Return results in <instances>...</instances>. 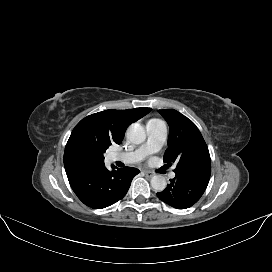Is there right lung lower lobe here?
<instances>
[{
    "instance_id": "right-lung-lower-lobe-1",
    "label": "right lung lower lobe",
    "mask_w": 272,
    "mask_h": 272,
    "mask_svg": "<svg viewBox=\"0 0 272 272\" xmlns=\"http://www.w3.org/2000/svg\"><path fill=\"white\" fill-rule=\"evenodd\" d=\"M138 173L139 170L132 167L109 171L103 165L67 177L71 188L85 205L102 209L122 199Z\"/></svg>"
}]
</instances>
